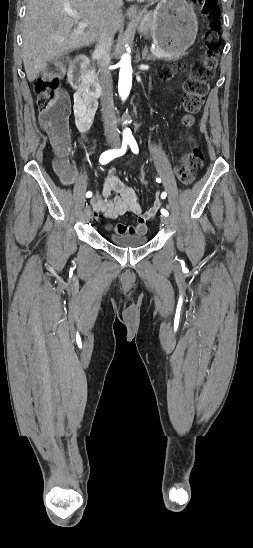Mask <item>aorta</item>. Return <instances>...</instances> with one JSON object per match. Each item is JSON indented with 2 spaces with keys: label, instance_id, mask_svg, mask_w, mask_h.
Masks as SVG:
<instances>
[{
  "label": "aorta",
  "instance_id": "762f6f07",
  "mask_svg": "<svg viewBox=\"0 0 253 548\" xmlns=\"http://www.w3.org/2000/svg\"><path fill=\"white\" fill-rule=\"evenodd\" d=\"M120 72H119V83H118V92L122 100H125L131 90L132 86V66H131V57L129 54H123L120 60ZM124 138H130L131 132L129 129H126L123 133Z\"/></svg>",
  "mask_w": 253,
  "mask_h": 548
}]
</instances>
